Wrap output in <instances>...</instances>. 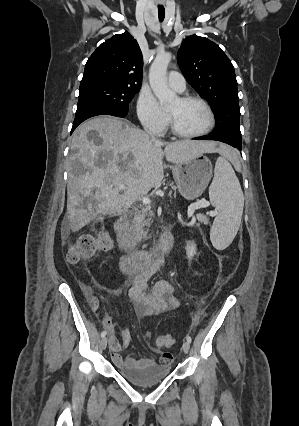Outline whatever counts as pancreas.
I'll return each instance as SVG.
<instances>
[{"label": "pancreas", "instance_id": "cf45deb5", "mask_svg": "<svg viewBox=\"0 0 299 426\" xmlns=\"http://www.w3.org/2000/svg\"><path fill=\"white\" fill-rule=\"evenodd\" d=\"M153 213L150 207H145L141 211H138L134 214L132 219V228L136 234L138 240L146 238L147 232L144 227L149 225V220L151 219ZM197 219L200 223L207 224L208 220L205 216H197Z\"/></svg>", "mask_w": 299, "mask_h": 426}]
</instances>
